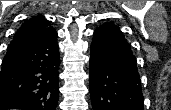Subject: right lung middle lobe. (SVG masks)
<instances>
[{
    "instance_id": "1",
    "label": "right lung middle lobe",
    "mask_w": 171,
    "mask_h": 110,
    "mask_svg": "<svg viewBox=\"0 0 171 110\" xmlns=\"http://www.w3.org/2000/svg\"><path fill=\"white\" fill-rule=\"evenodd\" d=\"M13 61H15V57H4L2 61V66H7L11 64Z\"/></svg>"
}]
</instances>
